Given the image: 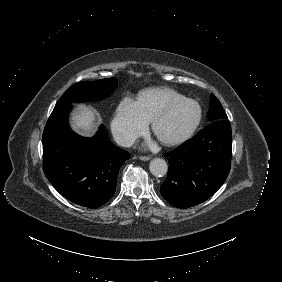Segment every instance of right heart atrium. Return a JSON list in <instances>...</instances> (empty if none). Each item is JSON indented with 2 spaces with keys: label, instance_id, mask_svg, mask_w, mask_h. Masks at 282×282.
Segmentation results:
<instances>
[{
  "label": "right heart atrium",
  "instance_id": "right-heart-atrium-1",
  "mask_svg": "<svg viewBox=\"0 0 282 282\" xmlns=\"http://www.w3.org/2000/svg\"><path fill=\"white\" fill-rule=\"evenodd\" d=\"M149 127V119L138 102L125 98L117 107L111 123L114 137L123 144L132 143L139 135L144 134Z\"/></svg>",
  "mask_w": 282,
  "mask_h": 282
}]
</instances>
